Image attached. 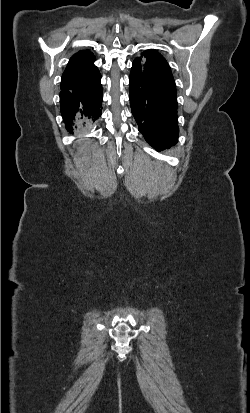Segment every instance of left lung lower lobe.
I'll use <instances>...</instances> for the list:
<instances>
[{
	"label": "left lung lower lobe",
	"instance_id": "left-lung-lower-lobe-1",
	"mask_svg": "<svg viewBox=\"0 0 250 413\" xmlns=\"http://www.w3.org/2000/svg\"><path fill=\"white\" fill-rule=\"evenodd\" d=\"M129 99L139 131L157 151L177 143V95L170 67L158 52L148 50L133 61Z\"/></svg>",
	"mask_w": 250,
	"mask_h": 413
}]
</instances>
